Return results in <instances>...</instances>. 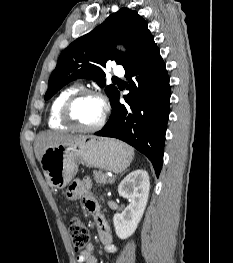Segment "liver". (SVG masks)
<instances>
[{"mask_svg":"<svg viewBox=\"0 0 233 263\" xmlns=\"http://www.w3.org/2000/svg\"><path fill=\"white\" fill-rule=\"evenodd\" d=\"M75 136L61 132L45 131L41 132L35 139L34 152L40 162L43 152L49 148L59 145L60 143L74 139Z\"/></svg>","mask_w":233,"mask_h":263,"instance_id":"6515ba94","label":"liver"}]
</instances>
